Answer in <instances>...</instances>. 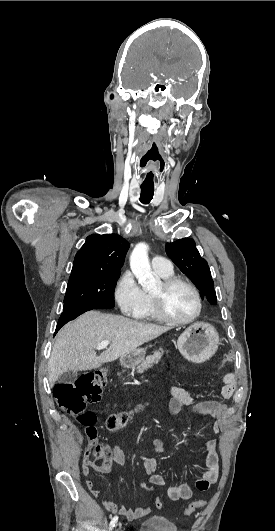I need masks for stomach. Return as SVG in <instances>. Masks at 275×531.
<instances>
[{
	"label": "stomach",
	"mask_w": 275,
	"mask_h": 531,
	"mask_svg": "<svg viewBox=\"0 0 275 531\" xmlns=\"http://www.w3.org/2000/svg\"><path fill=\"white\" fill-rule=\"evenodd\" d=\"M219 335L207 323H194L190 325L177 341V347L188 361L192 363H205L215 355L220 343ZM146 355L145 349H135L129 351L121 357L123 365H137L141 363Z\"/></svg>",
	"instance_id": "stomach-1"
}]
</instances>
